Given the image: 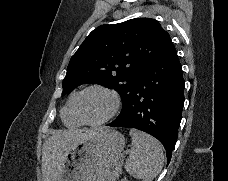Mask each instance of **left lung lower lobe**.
Wrapping results in <instances>:
<instances>
[{"label": "left lung lower lobe", "instance_id": "left-lung-lower-lobe-1", "mask_svg": "<svg viewBox=\"0 0 228 181\" xmlns=\"http://www.w3.org/2000/svg\"><path fill=\"white\" fill-rule=\"evenodd\" d=\"M184 104V79L170 41L139 73L122 117L111 127L136 128L156 137L171 160Z\"/></svg>", "mask_w": 228, "mask_h": 181}]
</instances>
